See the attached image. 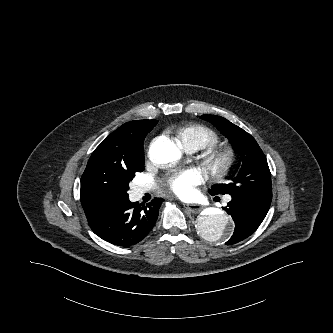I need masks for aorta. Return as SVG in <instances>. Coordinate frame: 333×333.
<instances>
[{
  "label": "aorta",
  "mask_w": 333,
  "mask_h": 333,
  "mask_svg": "<svg viewBox=\"0 0 333 333\" xmlns=\"http://www.w3.org/2000/svg\"><path fill=\"white\" fill-rule=\"evenodd\" d=\"M180 154V150L169 140H156L149 149L150 159L158 164L174 162ZM198 230L206 239L224 241L231 236L233 229L228 215L216 211L202 214Z\"/></svg>",
  "instance_id": "obj_1"
}]
</instances>
